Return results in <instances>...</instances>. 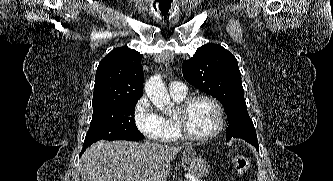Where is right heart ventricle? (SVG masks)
Masks as SVG:
<instances>
[{
  "mask_svg": "<svg viewBox=\"0 0 333 181\" xmlns=\"http://www.w3.org/2000/svg\"><path fill=\"white\" fill-rule=\"evenodd\" d=\"M186 95L185 96H173L172 95V98L173 100L179 104L181 103L184 99H185ZM171 125V132L169 134V136L165 139V141H177L179 139H181L182 135L180 133V130H179V127L174 119V117H166L165 118Z\"/></svg>",
  "mask_w": 333,
  "mask_h": 181,
  "instance_id": "right-heart-ventricle-1",
  "label": "right heart ventricle"
}]
</instances>
